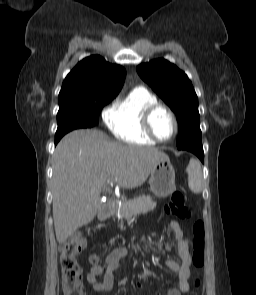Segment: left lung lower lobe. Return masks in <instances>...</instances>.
<instances>
[{
	"label": "left lung lower lobe",
	"instance_id": "0a47b994",
	"mask_svg": "<svg viewBox=\"0 0 256 295\" xmlns=\"http://www.w3.org/2000/svg\"><path fill=\"white\" fill-rule=\"evenodd\" d=\"M184 150L194 153L202 162H204V152L202 145L188 147Z\"/></svg>",
	"mask_w": 256,
	"mask_h": 295
}]
</instances>
